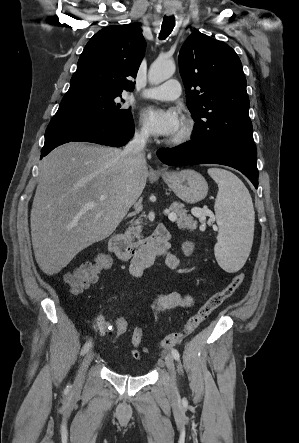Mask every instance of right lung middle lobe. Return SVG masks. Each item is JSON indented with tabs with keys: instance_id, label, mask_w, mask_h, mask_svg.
<instances>
[{
	"instance_id": "dd1d6c3e",
	"label": "right lung middle lobe",
	"mask_w": 299,
	"mask_h": 443,
	"mask_svg": "<svg viewBox=\"0 0 299 443\" xmlns=\"http://www.w3.org/2000/svg\"><path fill=\"white\" fill-rule=\"evenodd\" d=\"M121 94L101 88H69L52 119L97 121L131 117L130 109L121 108Z\"/></svg>"
}]
</instances>
